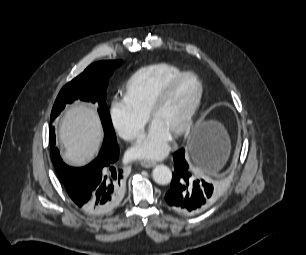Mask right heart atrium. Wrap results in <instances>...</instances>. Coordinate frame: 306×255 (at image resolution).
Returning a JSON list of instances; mask_svg holds the SVG:
<instances>
[{
    "mask_svg": "<svg viewBox=\"0 0 306 255\" xmlns=\"http://www.w3.org/2000/svg\"><path fill=\"white\" fill-rule=\"evenodd\" d=\"M109 119L116 133L128 142L141 137L147 122L146 115L135 110L125 99H114L111 102Z\"/></svg>",
    "mask_w": 306,
    "mask_h": 255,
    "instance_id": "d8ad5b80",
    "label": "right heart atrium"
}]
</instances>
